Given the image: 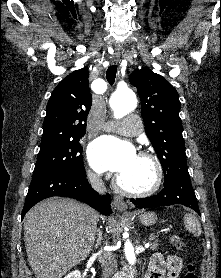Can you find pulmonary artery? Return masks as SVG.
Returning a JSON list of instances; mask_svg holds the SVG:
<instances>
[{"instance_id": "pulmonary-artery-1", "label": "pulmonary artery", "mask_w": 221, "mask_h": 278, "mask_svg": "<svg viewBox=\"0 0 221 278\" xmlns=\"http://www.w3.org/2000/svg\"><path fill=\"white\" fill-rule=\"evenodd\" d=\"M106 130L115 131L126 136H135L141 133L142 124L136 117H127L124 121H115L106 125Z\"/></svg>"}]
</instances>
